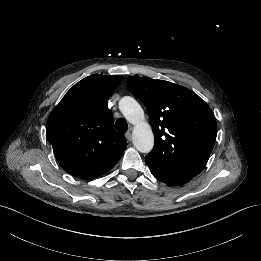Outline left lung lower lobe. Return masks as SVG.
I'll list each match as a JSON object with an SVG mask.
<instances>
[{"label":"left lung lower lobe","mask_w":261,"mask_h":261,"mask_svg":"<svg viewBox=\"0 0 261 261\" xmlns=\"http://www.w3.org/2000/svg\"><path fill=\"white\" fill-rule=\"evenodd\" d=\"M152 175L161 182L166 183L168 186H179L187 183L194 176L183 175L168 171L152 162L146 160Z\"/></svg>","instance_id":"obj_1"}]
</instances>
